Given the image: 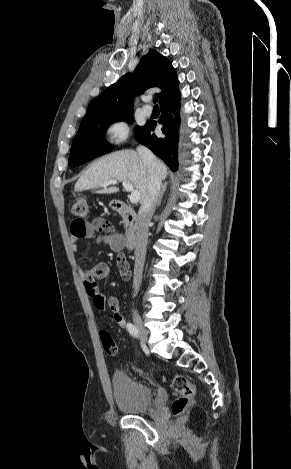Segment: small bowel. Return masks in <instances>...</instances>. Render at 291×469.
<instances>
[{
    "mask_svg": "<svg viewBox=\"0 0 291 469\" xmlns=\"http://www.w3.org/2000/svg\"><path fill=\"white\" fill-rule=\"evenodd\" d=\"M70 230L72 250L75 253L79 251L78 241L81 239H94L98 243L106 244L112 251L118 253L124 248V237L122 234L115 231L110 222L103 218H95L92 222L75 220L71 223ZM118 257L125 258L123 255ZM79 273L87 294L93 299L95 296L101 295L98 289V282L108 277L110 268L106 263L101 262L90 269L80 268ZM105 300L107 301V306L113 312L115 323L124 328L126 320L119 312L118 299L113 296H106Z\"/></svg>",
    "mask_w": 291,
    "mask_h": 469,
    "instance_id": "obj_1",
    "label": "small bowel"
}]
</instances>
